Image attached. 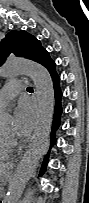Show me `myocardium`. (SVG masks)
<instances>
[{
	"mask_svg": "<svg viewBox=\"0 0 89 203\" xmlns=\"http://www.w3.org/2000/svg\"><path fill=\"white\" fill-rule=\"evenodd\" d=\"M3 138L5 139L7 145L12 149L15 146V140L13 139V137H6L4 135H2Z\"/></svg>",
	"mask_w": 89,
	"mask_h": 203,
	"instance_id": "f54148a6",
	"label": "myocardium"
}]
</instances>
